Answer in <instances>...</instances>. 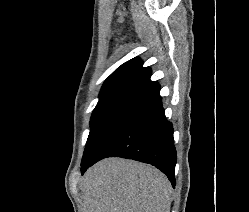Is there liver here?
Returning a JSON list of instances; mask_svg holds the SVG:
<instances>
[{
	"label": "liver",
	"instance_id": "6515ba94",
	"mask_svg": "<svg viewBox=\"0 0 249 212\" xmlns=\"http://www.w3.org/2000/svg\"><path fill=\"white\" fill-rule=\"evenodd\" d=\"M82 212H170L171 184L159 170L106 158L81 178Z\"/></svg>",
	"mask_w": 249,
	"mask_h": 212
}]
</instances>
